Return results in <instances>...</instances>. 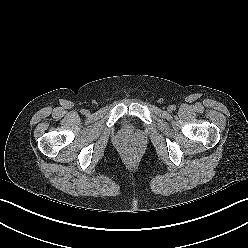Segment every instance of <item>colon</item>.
<instances>
[{
    "instance_id": "5ec220e1",
    "label": "colon",
    "mask_w": 248,
    "mask_h": 248,
    "mask_svg": "<svg viewBox=\"0 0 248 248\" xmlns=\"http://www.w3.org/2000/svg\"><path fill=\"white\" fill-rule=\"evenodd\" d=\"M126 157H127V159L130 160V161H132V160L135 158L134 155H133L132 153H127V154H126Z\"/></svg>"
}]
</instances>
